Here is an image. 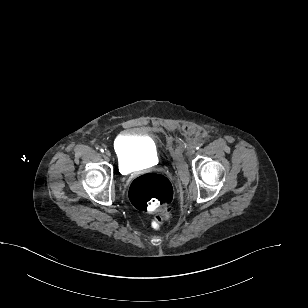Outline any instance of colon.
<instances>
[{"instance_id":"5ec220e1","label":"colon","mask_w":308,"mask_h":308,"mask_svg":"<svg viewBox=\"0 0 308 308\" xmlns=\"http://www.w3.org/2000/svg\"><path fill=\"white\" fill-rule=\"evenodd\" d=\"M131 203L155 216L154 227L170 217L174 190L170 180L159 173H146L134 178L129 187Z\"/></svg>"}]
</instances>
